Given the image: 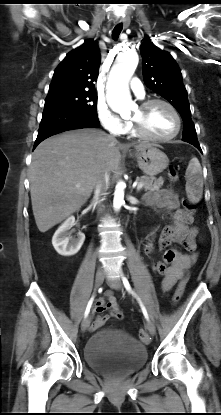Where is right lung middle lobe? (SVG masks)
<instances>
[{
	"label": "right lung middle lobe",
	"instance_id": "dd1d6c3e",
	"mask_svg": "<svg viewBox=\"0 0 221 415\" xmlns=\"http://www.w3.org/2000/svg\"><path fill=\"white\" fill-rule=\"evenodd\" d=\"M44 108H60L97 116V95L95 91L64 90L48 93Z\"/></svg>",
	"mask_w": 221,
	"mask_h": 415
}]
</instances>
